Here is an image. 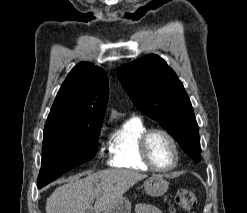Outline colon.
Returning a JSON list of instances; mask_svg holds the SVG:
<instances>
[{
	"label": "colon",
	"mask_w": 247,
	"mask_h": 213,
	"mask_svg": "<svg viewBox=\"0 0 247 213\" xmlns=\"http://www.w3.org/2000/svg\"><path fill=\"white\" fill-rule=\"evenodd\" d=\"M176 205L185 211H191L196 205V197L189 189H180L175 198Z\"/></svg>",
	"instance_id": "1"
}]
</instances>
